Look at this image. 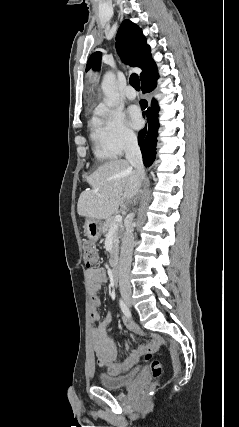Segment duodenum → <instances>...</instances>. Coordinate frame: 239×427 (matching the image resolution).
<instances>
[{
  "instance_id": "410a0bca",
  "label": "duodenum",
  "mask_w": 239,
  "mask_h": 427,
  "mask_svg": "<svg viewBox=\"0 0 239 427\" xmlns=\"http://www.w3.org/2000/svg\"><path fill=\"white\" fill-rule=\"evenodd\" d=\"M111 276H112V279L115 283L118 282V280L120 278V268H119V265L117 262H114L112 264Z\"/></svg>"
}]
</instances>
